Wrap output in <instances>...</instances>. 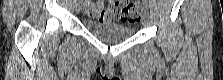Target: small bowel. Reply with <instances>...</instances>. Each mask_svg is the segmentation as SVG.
<instances>
[{
  "mask_svg": "<svg viewBox=\"0 0 223 80\" xmlns=\"http://www.w3.org/2000/svg\"><path fill=\"white\" fill-rule=\"evenodd\" d=\"M85 15L101 21L119 18L113 12V2L111 1L107 5L102 2L89 3L85 8Z\"/></svg>",
  "mask_w": 223,
  "mask_h": 80,
  "instance_id": "obj_1",
  "label": "small bowel"
}]
</instances>
